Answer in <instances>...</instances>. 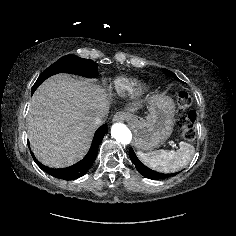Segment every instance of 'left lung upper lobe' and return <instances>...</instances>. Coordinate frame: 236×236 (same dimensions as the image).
Returning <instances> with one entry per match:
<instances>
[{"label":"left lung upper lobe","instance_id":"left-lung-upper-lobe-1","mask_svg":"<svg viewBox=\"0 0 236 236\" xmlns=\"http://www.w3.org/2000/svg\"><path fill=\"white\" fill-rule=\"evenodd\" d=\"M164 71H165V73H167L168 75H170L171 77H173L174 79H176V80H179L178 78H177V76L173 73V72H171V71H169V70H167V69H163ZM152 174H153V172H151Z\"/></svg>","mask_w":236,"mask_h":236}]
</instances>
